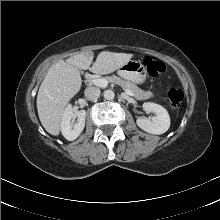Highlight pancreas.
Segmentation results:
<instances>
[{
    "label": "pancreas",
    "mask_w": 220,
    "mask_h": 220,
    "mask_svg": "<svg viewBox=\"0 0 220 220\" xmlns=\"http://www.w3.org/2000/svg\"><path fill=\"white\" fill-rule=\"evenodd\" d=\"M105 79L110 83H115L119 86H121L124 89H127L133 93V96L138 100H146L152 98L154 95L151 91H144L140 89L135 84L125 81L122 78L118 76H106Z\"/></svg>",
    "instance_id": "cf45deb5"
}]
</instances>
